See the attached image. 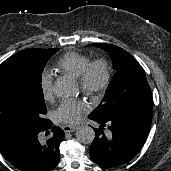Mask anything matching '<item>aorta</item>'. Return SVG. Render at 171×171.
<instances>
[{
  "label": "aorta",
  "mask_w": 171,
  "mask_h": 171,
  "mask_svg": "<svg viewBox=\"0 0 171 171\" xmlns=\"http://www.w3.org/2000/svg\"><path fill=\"white\" fill-rule=\"evenodd\" d=\"M54 93L60 98L73 97L77 94V88L74 82L61 79L54 85ZM76 138L82 144H90L95 138V132L90 126H82L76 131Z\"/></svg>",
  "instance_id": "aorta-1"
}]
</instances>
